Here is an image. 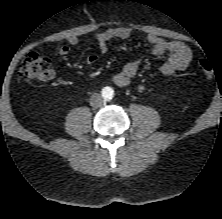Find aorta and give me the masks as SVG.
<instances>
[{"label": "aorta", "mask_w": 222, "mask_h": 219, "mask_svg": "<svg viewBox=\"0 0 222 219\" xmlns=\"http://www.w3.org/2000/svg\"><path fill=\"white\" fill-rule=\"evenodd\" d=\"M104 94L106 95L107 98H111L113 95V91L111 88L108 87L104 90Z\"/></svg>", "instance_id": "762f6f07"}]
</instances>
